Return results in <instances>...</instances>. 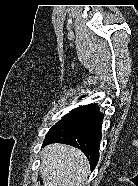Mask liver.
Here are the masks:
<instances>
[{"instance_id": "obj_1", "label": "liver", "mask_w": 138, "mask_h": 186, "mask_svg": "<svg viewBox=\"0 0 138 186\" xmlns=\"http://www.w3.org/2000/svg\"><path fill=\"white\" fill-rule=\"evenodd\" d=\"M43 186H81L89 174V162L77 148L51 144L41 152Z\"/></svg>"}]
</instances>
